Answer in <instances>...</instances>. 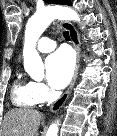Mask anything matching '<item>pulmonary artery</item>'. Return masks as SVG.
Listing matches in <instances>:
<instances>
[{
	"label": "pulmonary artery",
	"instance_id": "1",
	"mask_svg": "<svg viewBox=\"0 0 117 136\" xmlns=\"http://www.w3.org/2000/svg\"><path fill=\"white\" fill-rule=\"evenodd\" d=\"M56 47V41L52 37H43L37 44V49L41 53H48Z\"/></svg>",
	"mask_w": 117,
	"mask_h": 136
}]
</instances>
